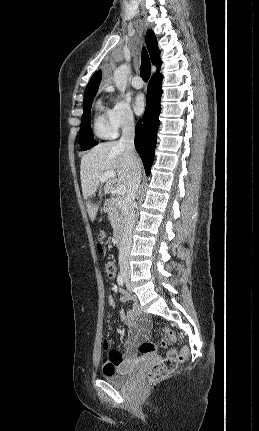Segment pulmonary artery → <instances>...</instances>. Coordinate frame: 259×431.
<instances>
[{"label":"pulmonary artery","mask_w":259,"mask_h":431,"mask_svg":"<svg viewBox=\"0 0 259 431\" xmlns=\"http://www.w3.org/2000/svg\"><path fill=\"white\" fill-rule=\"evenodd\" d=\"M131 84L135 89H141L144 85L142 78L138 75L133 77Z\"/></svg>","instance_id":"e3ab8cb5"}]
</instances>
